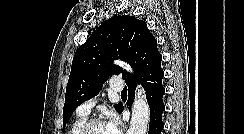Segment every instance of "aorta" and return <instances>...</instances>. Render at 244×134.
Instances as JSON below:
<instances>
[{
  "mask_svg": "<svg viewBox=\"0 0 244 134\" xmlns=\"http://www.w3.org/2000/svg\"><path fill=\"white\" fill-rule=\"evenodd\" d=\"M126 70H130L129 65L118 62ZM150 120V109L143 88L138 87L135 91V99L132 105V116L127 134H146Z\"/></svg>",
  "mask_w": 244,
  "mask_h": 134,
  "instance_id": "obj_1",
  "label": "aorta"
}]
</instances>
